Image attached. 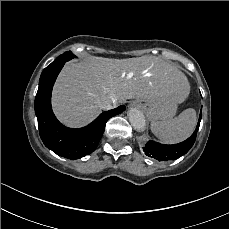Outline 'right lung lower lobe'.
Here are the masks:
<instances>
[{"mask_svg": "<svg viewBox=\"0 0 229 229\" xmlns=\"http://www.w3.org/2000/svg\"><path fill=\"white\" fill-rule=\"evenodd\" d=\"M64 64L65 61H61L43 70L35 98V113L44 145L57 155L74 160L95 150L105 130V123L111 117L122 113L125 106L103 112L84 128L71 129L63 126L52 112L51 92Z\"/></svg>", "mask_w": 229, "mask_h": 229, "instance_id": "98d812e1", "label": "right lung lower lobe"}]
</instances>
